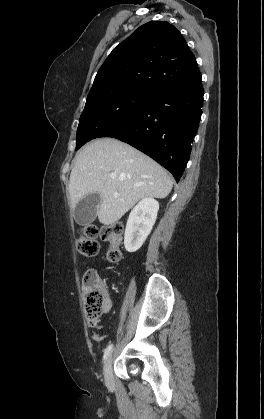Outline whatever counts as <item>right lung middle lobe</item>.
Listing matches in <instances>:
<instances>
[{
	"label": "right lung middle lobe",
	"instance_id": "dd1d6c3e",
	"mask_svg": "<svg viewBox=\"0 0 264 419\" xmlns=\"http://www.w3.org/2000/svg\"><path fill=\"white\" fill-rule=\"evenodd\" d=\"M152 94L135 86H111L90 92L79 120L76 149L127 119Z\"/></svg>",
	"mask_w": 264,
	"mask_h": 419
}]
</instances>
